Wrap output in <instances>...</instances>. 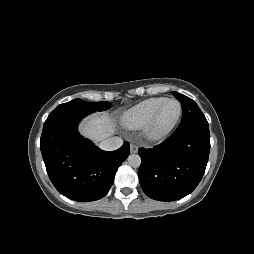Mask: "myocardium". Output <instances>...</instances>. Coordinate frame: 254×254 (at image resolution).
Here are the masks:
<instances>
[{"label":"myocardium","instance_id":"f54148a6","mask_svg":"<svg viewBox=\"0 0 254 254\" xmlns=\"http://www.w3.org/2000/svg\"><path fill=\"white\" fill-rule=\"evenodd\" d=\"M167 102L177 103L178 108H179L178 114H177L175 120L168 127L159 129V128H157V121H158V118L160 116L163 106ZM181 115H182L181 103L175 98H165L164 101L159 105V107L153 113L152 117L149 119V121L144 126V135H145L146 139L149 141H153V142H158V141L165 139L175 129V127L177 126V124L181 118Z\"/></svg>","mask_w":254,"mask_h":254}]
</instances>
